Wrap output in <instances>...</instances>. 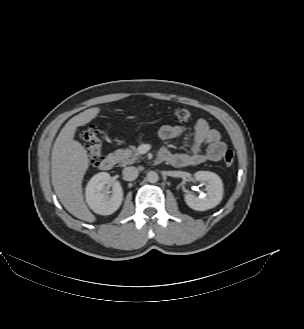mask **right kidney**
<instances>
[{"label": "right kidney", "instance_id": "1", "mask_svg": "<svg viewBox=\"0 0 304 329\" xmlns=\"http://www.w3.org/2000/svg\"><path fill=\"white\" fill-rule=\"evenodd\" d=\"M112 185V195L106 197V186ZM86 201L89 207L97 214L110 215L121 205L123 200V190L118 181H111V177L106 172L95 174L86 186Z\"/></svg>", "mask_w": 304, "mask_h": 329}]
</instances>
